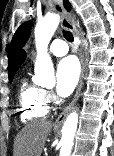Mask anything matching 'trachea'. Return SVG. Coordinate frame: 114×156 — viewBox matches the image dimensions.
Here are the masks:
<instances>
[{
    "label": "trachea",
    "instance_id": "1",
    "mask_svg": "<svg viewBox=\"0 0 114 156\" xmlns=\"http://www.w3.org/2000/svg\"><path fill=\"white\" fill-rule=\"evenodd\" d=\"M63 36L65 37L66 40H68L69 42H73V35L71 32L69 31H63Z\"/></svg>",
    "mask_w": 114,
    "mask_h": 156
}]
</instances>
